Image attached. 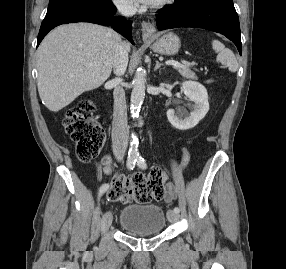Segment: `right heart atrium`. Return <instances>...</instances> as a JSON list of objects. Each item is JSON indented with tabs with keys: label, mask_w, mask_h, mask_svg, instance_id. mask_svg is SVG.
I'll return each mask as SVG.
<instances>
[{
	"label": "right heart atrium",
	"mask_w": 286,
	"mask_h": 269,
	"mask_svg": "<svg viewBox=\"0 0 286 269\" xmlns=\"http://www.w3.org/2000/svg\"><path fill=\"white\" fill-rule=\"evenodd\" d=\"M115 7L126 14H130L134 11V6L131 4L130 0H112Z\"/></svg>",
	"instance_id": "d8ad5b80"
}]
</instances>
